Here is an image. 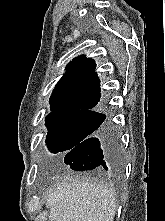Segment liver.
<instances>
[{
  "instance_id": "6515ba94",
  "label": "liver",
  "mask_w": 165,
  "mask_h": 221,
  "mask_svg": "<svg viewBox=\"0 0 165 221\" xmlns=\"http://www.w3.org/2000/svg\"><path fill=\"white\" fill-rule=\"evenodd\" d=\"M49 221H113L114 191L102 182L66 178L46 197Z\"/></svg>"
}]
</instances>
